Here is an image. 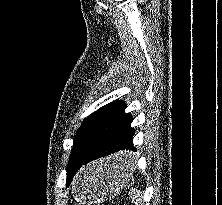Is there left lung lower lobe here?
<instances>
[{
    "instance_id": "1",
    "label": "left lung lower lobe",
    "mask_w": 222,
    "mask_h": 205,
    "mask_svg": "<svg viewBox=\"0 0 222 205\" xmlns=\"http://www.w3.org/2000/svg\"><path fill=\"white\" fill-rule=\"evenodd\" d=\"M126 104L119 101L108 118L105 120L100 133L93 146L85 157L72 163L71 175L66 182L71 183L76 172L85 164L113 153H117L111 159L115 164H128L129 156L125 151H135L133 146L134 129L131 128L132 116L125 114Z\"/></svg>"
}]
</instances>
